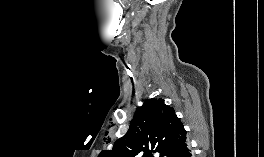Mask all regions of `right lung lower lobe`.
<instances>
[{
  "instance_id": "right-lung-lower-lobe-1",
  "label": "right lung lower lobe",
  "mask_w": 264,
  "mask_h": 157,
  "mask_svg": "<svg viewBox=\"0 0 264 157\" xmlns=\"http://www.w3.org/2000/svg\"><path fill=\"white\" fill-rule=\"evenodd\" d=\"M167 157H193L191 149L187 141L179 146L175 151L170 153Z\"/></svg>"
}]
</instances>
